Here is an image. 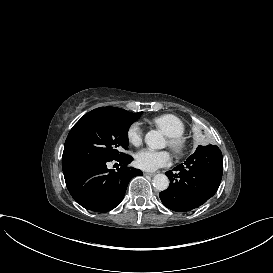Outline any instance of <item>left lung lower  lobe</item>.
<instances>
[{"label": "left lung lower lobe", "instance_id": "left-lung-lower-lobe-1", "mask_svg": "<svg viewBox=\"0 0 273 273\" xmlns=\"http://www.w3.org/2000/svg\"><path fill=\"white\" fill-rule=\"evenodd\" d=\"M174 170L178 173L166 172L170 185L160 192V199L173 211H190L216 193L223 172L222 153L215 145L198 146L194 154Z\"/></svg>", "mask_w": 273, "mask_h": 273}]
</instances>
